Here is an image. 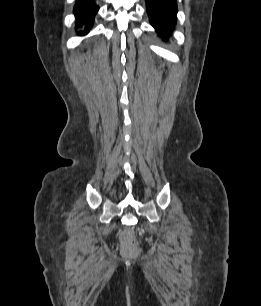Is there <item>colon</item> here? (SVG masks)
Instances as JSON below:
<instances>
[{
	"mask_svg": "<svg viewBox=\"0 0 261 306\" xmlns=\"http://www.w3.org/2000/svg\"><path fill=\"white\" fill-rule=\"evenodd\" d=\"M121 250L124 255H134L138 251L137 240L131 230H124L120 234Z\"/></svg>",
	"mask_w": 261,
	"mask_h": 306,
	"instance_id": "1",
	"label": "colon"
}]
</instances>
